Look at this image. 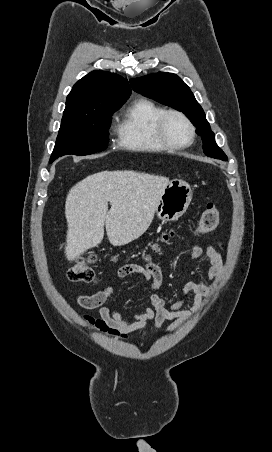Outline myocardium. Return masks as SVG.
Wrapping results in <instances>:
<instances>
[{
    "label": "myocardium",
    "mask_w": 272,
    "mask_h": 452,
    "mask_svg": "<svg viewBox=\"0 0 272 452\" xmlns=\"http://www.w3.org/2000/svg\"><path fill=\"white\" fill-rule=\"evenodd\" d=\"M170 116H177L181 118L185 124L187 125L189 129L190 138L185 143H175L173 142L167 132H166V121L168 117ZM156 134L159 138V140L169 149H184L189 147L195 139L196 136V129L192 121L189 119V117L183 113L182 111L176 110V109H167L164 110L156 122Z\"/></svg>",
    "instance_id": "myocardium-1"
}]
</instances>
